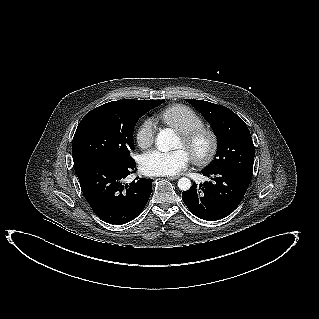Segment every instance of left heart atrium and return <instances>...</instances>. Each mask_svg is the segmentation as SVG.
Listing matches in <instances>:
<instances>
[{"instance_id": "obj_1", "label": "left heart atrium", "mask_w": 319, "mask_h": 319, "mask_svg": "<svg viewBox=\"0 0 319 319\" xmlns=\"http://www.w3.org/2000/svg\"><path fill=\"white\" fill-rule=\"evenodd\" d=\"M189 160V154L183 148L170 152L152 150L141 157L140 167L149 176L173 175L184 169Z\"/></svg>"}]
</instances>
